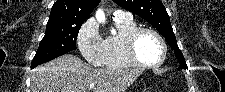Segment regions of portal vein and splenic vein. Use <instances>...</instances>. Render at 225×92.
I'll list each match as a JSON object with an SVG mask.
<instances>
[{
  "instance_id": "18ae733b",
  "label": "portal vein and splenic vein",
  "mask_w": 225,
  "mask_h": 92,
  "mask_svg": "<svg viewBox=\"0 0 225 92\" xmlns=\"http://www.w3.org/2000/svg\"><path fill=\"white\" fill-rule=\"evenodd\" d=\"M95 88V85L94 84H90L89 85V89H94Z\"/></svg>"
}]
</instances>
